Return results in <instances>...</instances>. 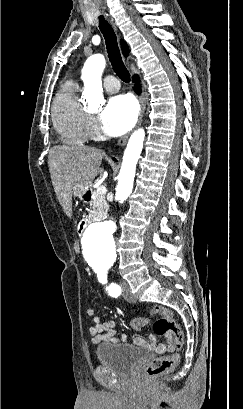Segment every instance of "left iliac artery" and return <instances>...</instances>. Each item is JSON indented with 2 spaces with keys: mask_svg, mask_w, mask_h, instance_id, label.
Wrapping results in <instances>:
<instances>
[{
  "mask_svg": "<svg viewBox=\"0 0 243 409\" xmlns=\"http://www.w3.org/2000/svg\"><path fill=\"white\" fill-rule=\"evenodd\" d=\"M97 276L99 281L102 284H106L107 283V272L106 271H98L97 272ZM107 290L109 292V294L112 297H117L121 294V288L119 287V285L115 284V283H111L108 287Z\"/></svg>",
  "mask_w": 243,
  "mask_h": 409,
  "instance_id": "1",
  "label": "left iliac artery"
}]
</instances>
